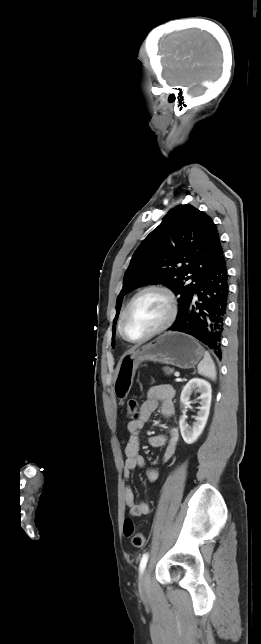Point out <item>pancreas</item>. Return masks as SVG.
Wrapping results in <instances>:
<instances>
[{"label":"pancreas","instance_id":"pancreas-1","mask_svg":"<svg viewBox=\"0 0 261 644\" xmlns=\"http://www.w3.org/2000/svg\"><path fill=\"white\" fill-rule=\"evenodd\" d=\"M163 370H164V372H165L166 374H168V375L174 372V370H173V369H170V368H167V367H166V368H164Z\"/></svg>","mask_w":261,"mask_h":644}]
</instances>
